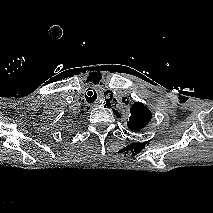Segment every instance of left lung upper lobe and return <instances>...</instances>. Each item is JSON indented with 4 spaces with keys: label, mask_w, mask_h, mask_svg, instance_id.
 Segmentation results:
<instances>
[{
    "label": "left lung upper lobe",
    "mask_w": 213,
    "mask_h": 213,
    "mask_svg": "<svg viewBox=\"0 0 213 213\" xmlns=\"http://www.w3.org/2000/svg\"><path fill=\"white\" fill-rule=\"evenodd\" d=\"M115 111V112H114ZM116 116L120 117L116 110H113ZM128 128L133 131H139L150 122L152 114L150 110L142 103H135L130 110Z\"/></svg>",
    "instance_id": "1"
}]
</instances>
